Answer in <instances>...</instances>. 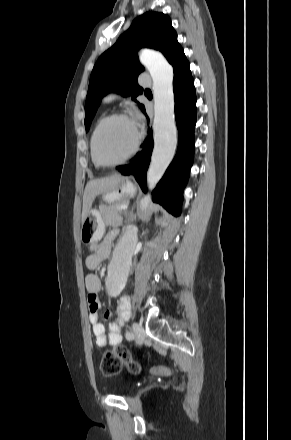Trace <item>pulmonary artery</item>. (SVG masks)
I'll list each match as a JSON object with an SVG mask.
<instances>
[{"instance_id": "obj_1", "label": "pulmonary artery", "mask_w": 291, "mask_h": 440, "mask_svg": "<svg viewBox=\"0 0 291 440\" xmlns=\"http://www.w3.org/2000/svg\"><path fill=\"white\" fill-rule=\"evenodd\" d=\"M138 83H139L141 86L148 85V84L150 83V77H149V75L146 74V73H141V74H139V76H138ZM115 97H116V94H115V93H109L108 95H106V97H105V101L110 102V101L114 100Z\"/></svg>"}]
</instances>
